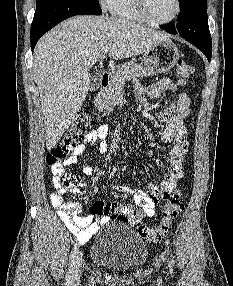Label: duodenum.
<instances>
[{
	"label": "duodenum",
	"instance_id": "1",
	"mask_svg": "<svg viewBox=\"0 0 233 286\" xmlns=\"http://www.w3.org/2000/svg\"><path fill=\"white\" fill-rule=\"evenodd\" d=\"M109 83H110V75L109 73L105 72L102 74L100 78L99 86L101 89H105L109 86Z\"/></svg>",
	"mask_w": 233,
	"mask_h": 286
}]
</instances>
